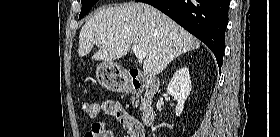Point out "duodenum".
Returning <instances> with one entry per match:
<instances>
[{"label": "duodenum", "mask_w": 280, "mask_h": 137, "mask_svg": "<svg viewBox=\"0 0 280 137\" xmlns=\"http://www.w3.org/2000/svg\"><path fill=\"white\" fill-rule=\"evenodd\" d=\"M129 88L133 91L143 89L144 107L142 109V120L146 126H152L155 122V110L148 105L160 87V82L154 77H142L131 73L128 77Z\"/></svg>", "instance_id": "duodenum-1"}]
</instances>
